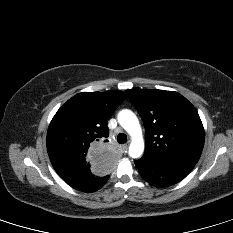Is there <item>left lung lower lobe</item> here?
<instances>
[{"label":"left lung lower lobe","mask_w":233,"mask_h":233,"mask_svg":"<svg viewBox=\"0 0 233 233\" xmlns=\"http://www.w3.org/2000/svg\"><path fill=\"white\" fill-rule=\"evenodd\" d=\"M196 163L184 160H154L146 157L135 161L141 176L156 187H167L184 179Z\"/></svg>","instance_id":"obj_1"}]
</instances>
